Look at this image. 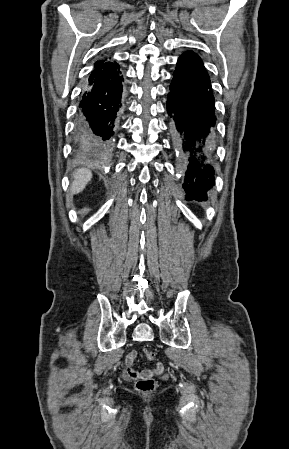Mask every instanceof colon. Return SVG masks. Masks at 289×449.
<instances>
[{
  "label": "colon",
  "mask_w": 289,
  "mask_h": 449,
  "mask_svg": "<svg viewBox=\"0 0 289 449\" xmlns=\"http://www.w3.org/2000/svg\"><path fill=\"white\" fill-rule=\"evenodd\" d=\"M145 356L148 360L155 358V353L150 350H145ZM136 389L140 392L149 393L155 390L156 381L151 376H143L136 379Z\"/></svg>",
  "instance_id": "obj_1"
}]
</instances>
